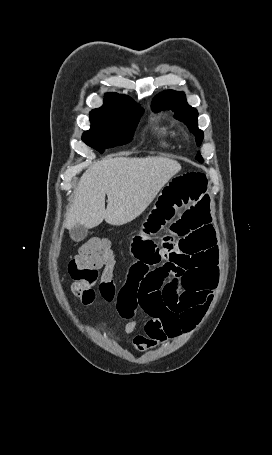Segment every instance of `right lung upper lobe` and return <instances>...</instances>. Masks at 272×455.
I'll list each match as a JSON object with an SVG mask.
<instances>
[{
    "instance_id": "cb5924a9",
    "label": "right lung upper lobe",
    "mask_w": 272,
    "mask_h": 455,
    "mask_svg": "<svg viewBox=\"0 0 272 455\" xmlns=\"http://www.w3.org/2000/svg\"><path fill=\"white\" fill-rule=\"evenodd\" d=\"M135 103L131 98L117 93H108L104 97L102 107L94 109L92 112H113L121 110L130 104Z\"/></svg>"
}]
</instances>
